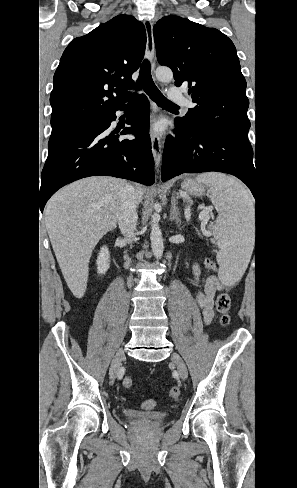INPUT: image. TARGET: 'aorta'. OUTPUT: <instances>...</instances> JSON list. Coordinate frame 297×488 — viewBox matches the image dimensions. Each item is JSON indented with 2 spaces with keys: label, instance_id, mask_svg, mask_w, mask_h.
<instances>
[{
  "label": "aorta",
  "instance_id": "762f6f07",
  "mask_svg": "<svg viewBox=\"0 0 297 488\" xmlns=\"http://www.w3.org/2000/svg\"><path fill=\"white\" fill-rule=\"evenodd\" d=\"M156 78L161 82H169L173 79V72L171 69L166 67H158L155 71ZM160 205L158 203L155 204V208H158ZM159 214L154 213L151 217V233H150V241L152 252L156 259H160L164 252V243L162 238V232L159 227Z\"/></svg>",
  "mask_w": 297,
  "mask_h": 488
}]
</instances>
